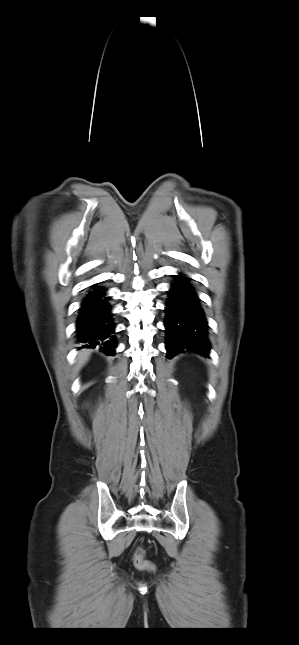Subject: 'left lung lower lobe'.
<instances>
[{
	"label": "left lung lower lobe",
	"instance_id": "0a47b994",
	"mask_svg": "<svg viewBox=\"0 0 299 645\" xmlns=\"http://www.w3.org/2000/svg\"><path fill=\"white\" fill-rule=\"evenodd\" d=\"M175 277L165 308L167 357L184 352L209 356L208 325L200 300L187 277Z\"/></svg>",
	"mask_w": 299,
	"mask_h": 645
}]
</instances>
